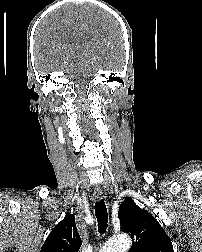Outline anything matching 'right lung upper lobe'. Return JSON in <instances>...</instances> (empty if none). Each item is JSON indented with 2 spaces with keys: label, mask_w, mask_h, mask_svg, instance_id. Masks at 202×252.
I'll return each instance as SVG.
<instances>
[{
  "label": "right lung upper lobe",
  "mask_w": 202,
  "mask_h": 252,
  "mask_svg": "<svg viewBox=\"0 0 202 252\" xmlns=\"http://www.w3.org/2000/svg\"><path fill=\"white\" fill-rule=\"evenodd\" d=\"M80 245L75 216L68 214L52 229L40 252H78Z\"/></svg>",
  "instance_id": "obj_1"
}]
</instances>
